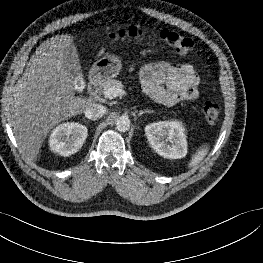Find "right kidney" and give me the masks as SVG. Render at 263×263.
I'll return each instance as SVG.
<instances>
[{
    "label": "right kidney",
    "mask_w": 263,
    "mask_h": 263,
    "mask_svg": "<svg viewBox=\"0 0 263 263\" xmlns=\"http://www.w3.org/2000/svg\"><path fill=\"white\" fill-rule=\"evenodd\" d=\"M87 127L74 122L58 125L51 133L49 146L61 156H70L81 149L87 138Z\"/></svg>",
    "instance_id": "ca27d5eb"
}]
</instances>
